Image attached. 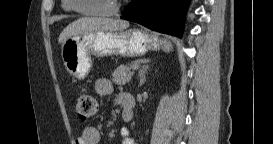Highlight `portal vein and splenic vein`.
<instances>
[{
    "label": "portal vein and splenic vein",
    "instance_id": "obj_1",
    "mask_svg": "<svg viewBox=\"0 0 273 144\" xmlns=\"http://www.w3.org/2000/svg\"><path fill=\"white\" fill-rule=\"evenodd\" d=\"M140 68L139 64L134 65L133 70H138Z\"/></svg>",
    "mask_w": 273,
    "mask_h": 144
}]
</instances>
